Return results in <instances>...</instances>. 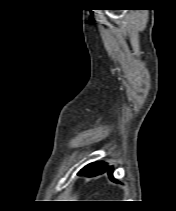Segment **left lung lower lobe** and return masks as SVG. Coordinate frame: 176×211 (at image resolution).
I'll use <instances>...</instances> for the list:
<instances>
[{
    "label": "left lung lower lobe",
    "mask_w": 176,
    "mask_h": 211,
    "mask_svg": "<svg viewBox=\"0 0 176 211\" xmlns=\"http://www.w3.org/2000/svg\"><path fill=\"white\" fill-rule=\"evenodd\" d=\"M109 169V176L113 178L112 175V168H110L108 165H106L104 162H96V163H91L84 168H82L79 172V175H85L88 177L96 176L101 173H104L106 170Z\"/></svg>",
    "instance_id": "obj_1"
}]
</instances>
